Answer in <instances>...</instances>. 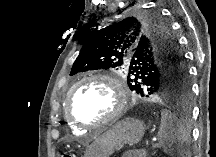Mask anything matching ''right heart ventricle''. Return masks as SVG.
Returning a JSON list of instances; mask_svg holds the SVG:
<instances>
[{
	"instance_id": "obj_1",
	"label": "right heart ventricle",
	"mask_w": 216,
	"mask_h": 157,
	"mask_svg": "<svg viewBox=\"0 0 216 157\" xmlns=\"http://www.w3.org/2000/svg\"><path fill=\"white\" fill-rule=\"evenodd\" d=\"M69 125H70V128H71L74 132H79V131L82 130V128H80V127H78V126H76V125H74V124H72V123H70Z\"/></svg>"
}]
</instances>
